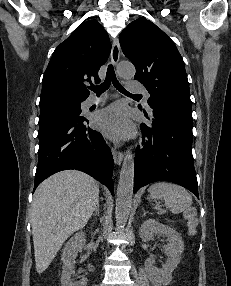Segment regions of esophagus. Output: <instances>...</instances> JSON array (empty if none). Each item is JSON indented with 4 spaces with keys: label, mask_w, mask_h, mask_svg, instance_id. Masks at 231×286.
<instances>
[{
    "label": "esophagus",
    "mask_w": 231,
    "mask_h": 286,
    "mask_svg": "<svg viewBox=\"0 0 231 286\" xmlns=\"http://www.w3.org/2000/svg\"><path fill=\"white\" fill-rule=\"evenodd\" d=\"M110 58H111V62L113 65H116L119 61L120 46H119L118 38H115L113 40ZM112 155H113L115 164L120 165L123 160V153L120 150H118L116 147H113Z\"/></svg>",
    "instance_id": "1"
}]
</instances>
